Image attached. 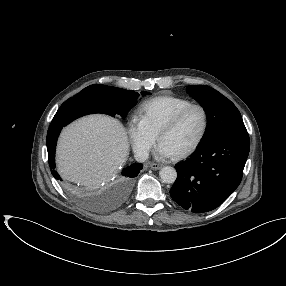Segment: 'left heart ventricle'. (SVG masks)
Returning a JSON list of instances; mask_svg holds the SVG:
<instances>
[{"instance_id": "left-heart-ventricle-1", "label": "left heart ventricle", "mask_w": 286, "mask_h": 286, "mask_svg": "<svg viewBox=\"0 0 286 286\" xmlns=\"http://www.w3.org/2000/svg\"><path fill=\"white\" fill-rule=\"evenodd\" d=\"M203 122L201 110L192 109L174 128L162 136L160 144L173 154L188 148L200 135Z\"/></svg>"}]
</instances>
